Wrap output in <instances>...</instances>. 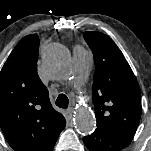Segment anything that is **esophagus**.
<instances>
[{
	"label": "esophagus",
	"mask_w": 151,
	"mask_h": 151,
	"mask_svg": "<svg viewBox=\"0 0 151 151\" xmlns=\"http://www.w3.org/2000/svg\"><path fill=\"white\" fill-rule=\"evenodd\" d=\"M67 112L69 113L70 116H72L74 108L73 107L68 108Z\"/></svg>",
	"instance_id": "esophagus-1"
}]
</instances>
